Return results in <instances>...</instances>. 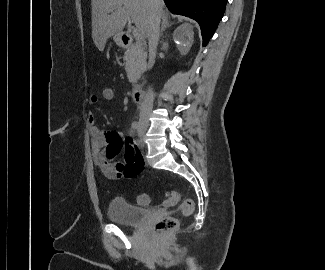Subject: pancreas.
I'll use <instances>...</instances> for the list:
<instances>
[{"instance_id": "obj_1", "label": "pancreas", "mask_w": 325, "mask_h": 270, "mask_svg": "<svg viewBox=\"0 0 325 270\" xmlns=\"http://www.w3.org/2000/svg\"><path fill=\"white\" fill-rule=\"evenodd\" d=\"M127 77L132 84L140 79L146 70L147 52L141 43L128 48L123 57Z\"/></svg>"}]
</instances>
